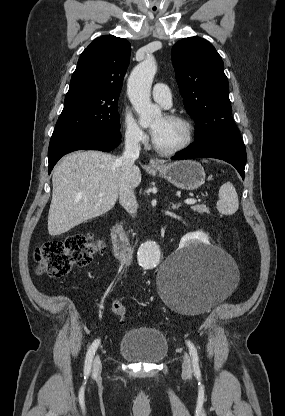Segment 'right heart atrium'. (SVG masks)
Returning <instances> with one entry per match:
<instances>
[{
    "instance_id": "right-heart-atrium-1",
    "label": "right heart atrium",
    "mask_w": 285,
    "mask_h": 416,
    "mask_svg": "<svg viewBox=\"0 0 285 416\" xmlns=\"http://www.w3.org/2000/svg\"><path fill=\"white\" fill-rule=\"evenodd\" d=\"M125 138L132 145H145L147 143V135L140 124L134 119L129 111H125L123 115Z\"/></svg>"
}]
</instances>
